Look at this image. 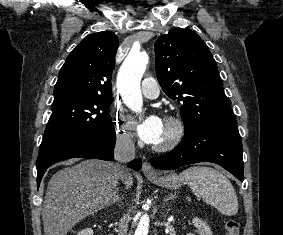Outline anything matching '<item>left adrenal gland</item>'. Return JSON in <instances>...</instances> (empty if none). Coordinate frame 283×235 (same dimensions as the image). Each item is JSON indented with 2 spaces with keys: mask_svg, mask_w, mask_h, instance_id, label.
<instances>
[{
  "mask_svg": "<svg viewBox=\"0 0 283 235\" xmlns=\"http://www.w3.org/2000/svg\"><path fill=\"white\" fill-rule=\"evenodd\" d=\"M176 198L175 195L173 193L168 194V196L166 197V199L164 200V202H167L168 200L174 199Z\"/></svg>",
  "mask_w": 283,
  "mask_h": 235,
  "instance_id": "a2214340",
  "label": "left adrenal gland"
}]
</instances>
